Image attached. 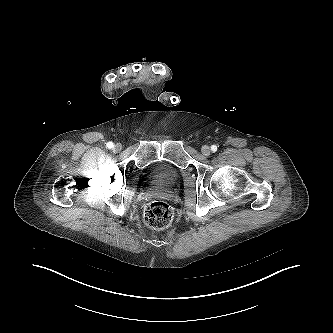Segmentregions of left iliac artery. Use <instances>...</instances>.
Here are the masks:
<instances>
[{"label":"left iliac artery","mask_w":333,"mask_h":333,"mask_svg":"<svg viewBox=\"0 0 333 333\" xmlns=\"http://www.w3.org/2000/svg\"><path fill=\"white\" fill-rule=\"evenodd\" d=\"M211 150H212V152H216L217 151V146L216 145H212L211 146Z\"/></svg>","instance_id":"obj_1"}]
</instances>
